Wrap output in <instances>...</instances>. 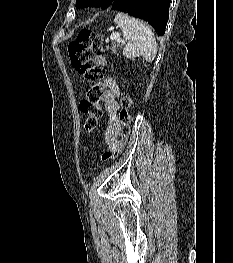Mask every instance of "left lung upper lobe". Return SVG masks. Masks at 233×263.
<instances>
[{"mask_svg": "<svg viewBox=\"0 0 233 263\" xmlns=\"http://www.w3.org/2000/svg\"><path fill=\"white\" fill-rule=\"evenodd\" d=\"M115 0H77V7H84L89 4L101 6L103 9L112 5Z\"/></svg>", "mask_w": 233, "mask_h": 263, "instance_id": "5c2ea615", "label": "left lung upper lobe"}]
</instances>
